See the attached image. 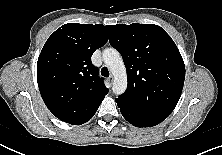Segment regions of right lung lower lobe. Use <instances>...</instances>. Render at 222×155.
<instances>
[{
	"label": "right lung lower lobe",
	"instance_id": "obj_1",
	"mask_svg": "<svg viewBox=\"0 0 222 155\" xmlns=\"http://www.w3.org/2000/svg\"><path fill=\"white\" fill-rule=\"evenodd\" d=\"M96 111H97V110H96ZM96 111H95V112H96ZM95 112H94L93 114H91L89 117L83 119V120L80 122V124H83V123L87 122L89 119H91V118L93 117V115L95 114ZM80 124H77V125H80Z\"/></svg>",
	"mask_w": 222,
	"mask_h": 155
}]
</instances>
